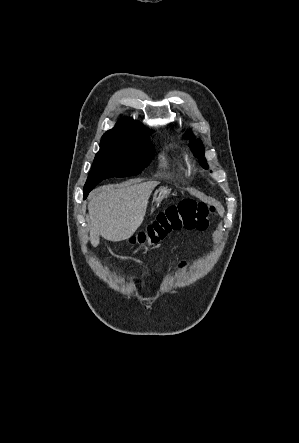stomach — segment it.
<instances>
[{
    "mask_svg": "<svg viewBox=\"0 0 299 443\" xmlns=\"http://www.w3.org/2000/svg\"><path fill=\"white\" fill-rule=\"evenodd\" d=\"M171 189L167 187L158 188L152 197V203L156 206L161 203V201L170 194Z\"/></svg>",
    "mask_w": 299,
    "mask_h": 443,
    "instance_id": "obj_1",
    "label": "stomach"
}]
</instances>
